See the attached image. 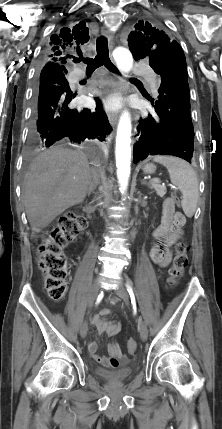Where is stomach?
<instances>
[{
    "label": "stomach",
    "instance_id": "0dacf381",
    "mask_svg": "<svg viewBox=\"0 0 222 429\" xmlns=\"http://www.w3.org/2000/svg\"><path fill=\"white\" fill-rule=\"evenodd\" d=\"M143 172L145 173V174H152V173H154L155 172V170H156V166L154 165V164H152V163H147V164H145L144 166H143Z\"/></svg>",
    "mask_w": 222,
    "mask_h": 429
}]
</instances>
